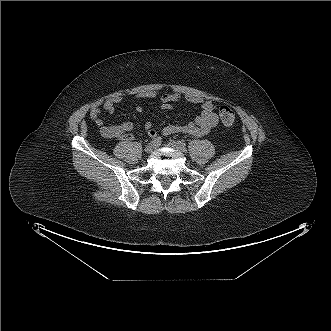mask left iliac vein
<instances>
[{"label":"left iliac vein","mask_w":331,"mask_h":331,"mask_svg":"<svg viewBox=\"0 0 331 331\" xmlns=\"http://www.w3.org/2000/svg\"><path fill=\"white\" fill-rule=\"evenodd\" d=\"M166 146L167 147H170V148H174V149H177L178 151H181V152H184L185 149L180 147L179 144L175 141H169L166 143Z\"/></svg>","instance_id":"4c4485c4"}]
</instances>
